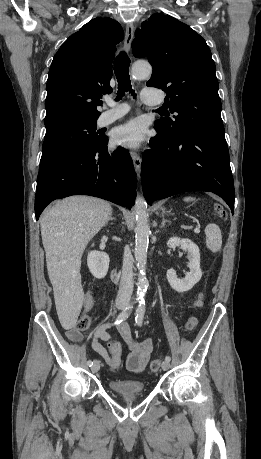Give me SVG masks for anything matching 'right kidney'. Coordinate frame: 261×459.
<instances>
[{"label": "right kidney", "instance_id": "1", "mask_svg": "<svg viewBox=\"0 0 261 459\" xmlns=\"http://www.w3.org/2000/svg\"><path fill=\"white\" fill-rule=\"evenodd\" d=\"M109 262V256L105 252L91 251L87 257L88 268L91 274L97 279H102L106 276Z\"/></svg>", "mask_w": 261, "mask_h": 459}]
</instances>
